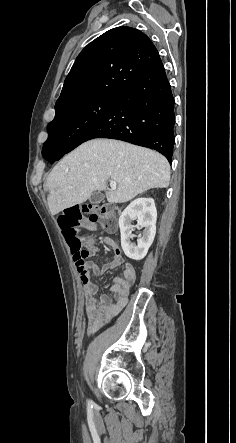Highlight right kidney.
Segmentation results:
<instances>
[{
	"mask_svg": "<svg viewBox=\"0 0 236 443\" xmlns=\"http://www.w3.org/2000/svg\"><path fill=\"white\" fill-rule=\"evenodd\" d=\"M136 219L138 227L144 228L137 245L130 241L134 237L131 222ZM156 220L157 210L152 198H137L122 212L119 218L121 246L127 257L133 260L145 257L156 234Z\"/></svg>",
	"mask_w": 236,
	"mask_h": 443,
	"instance_id": "ca27d5eb",
	"label": "right kidney"
}]
</instances>
